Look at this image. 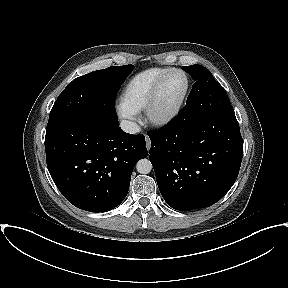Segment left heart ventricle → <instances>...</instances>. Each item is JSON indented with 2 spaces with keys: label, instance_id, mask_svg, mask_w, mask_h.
I'll return each instance as SVG.
<instances>
[{
  "label": "left heart ventricle",
  "instance_id": "obj_1",
  "mask_svg": "<svg viewBox=\"0 0 288 288\" xmlns=\"http://www.w3.org/2000/svg\"><path fill=\"white\" fill-rule=\"evenodd\" d=\"M185 88V78L181 73L170 74L164 82L156 107L158 114L169 112L178 102Z\"/></svg>",
  "mask_w": 288,
  "mask_h": 288
}]
</instances>
